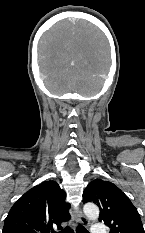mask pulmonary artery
Wrapping results in <instances>:
<instances>
[{
  "instance_id": "pulmonary-artery-1",
  "label": "pulmonary artery",
  "mask_w": 145,
  "mask_h": 233,
  "mask_svg": "<svg viewBox=\"0 0 145 233\" xmlns=\"http://www.w3.org/2000/svg\"><path fill=\"white\" fill-rule=\"evenodd\" d=\"M91 231L92 233H108L104 227V224L100 222L95 223Z\"/></svg>"
}]
</instances>
